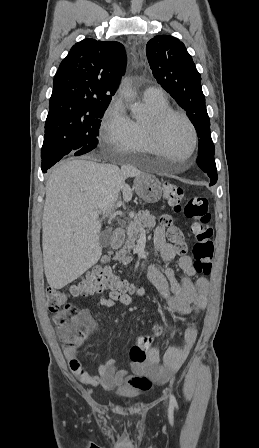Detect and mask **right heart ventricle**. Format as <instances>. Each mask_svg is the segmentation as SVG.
<instances>
[{
	"label": "right heart ventricle",
	"mask_w": 259,
	"mask_h": 448,
	"mask_svg": "<svg viewBox=\"0 0 259 448\" xmlns=\"http://www.w3.org/2000/svg\"><path fill=\"white\" fill-rule=\"evenodd\" d=\"M143 101L148 108V115L146 118L136 119L126 112H124L123 114L127 122L131 137V151L127 156L122 158L125 163H138V157L140 153H145V151L149 152L152 150L147 122L149 116L171 109L170 103L167 100L166 96L157 98L143 94Z\"/></svg>",
	"instance_id": "e07e8e85"
}]
</instances>
